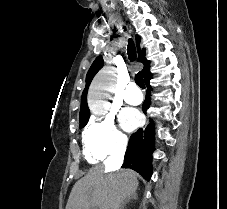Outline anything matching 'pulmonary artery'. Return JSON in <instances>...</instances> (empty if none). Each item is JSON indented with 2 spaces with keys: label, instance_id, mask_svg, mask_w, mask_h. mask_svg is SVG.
I'll return each instance as SVG.
<instances>
[{
  "label": "pulmonary artery",
  "instance_id": "e3ab8cb5",
  "mask_svg": "<svg viewBox=\"0 0 227 209\" xmlns=\"http://www.w3.org/2000/svg\"><path fill=\"white\" fill-rule=\"evenodd\" d=\"M124 91L128 92L124 95V100L130 105H139L143 101V97L139 92H136L134 87H137V82H126Z\"/></svg>",
  "mask_w": 227,
  "mask_h": 209
}]
</instances>
